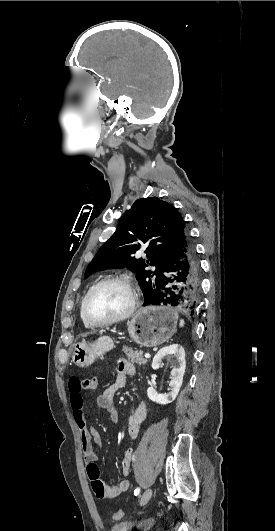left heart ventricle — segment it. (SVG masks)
<instances>
[{"label":"left heart ventricle","mask_w":275,"mask_h":531,"mask_svg":"<svg viewBox=\"0 0 275 531\" xmlns=\"http://www.w3.org/2000/svg\"><path fill=\"white\" fill-rule=\"evenodd\" d=\"M131 299V292L125 285L105 284L89 297L86 314L95 321L108 320L125 313L130 307Z\"/></svg>","instance_id":"obj_1"}]
</instances>
